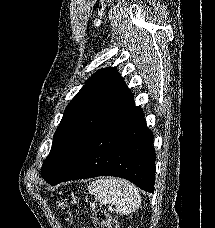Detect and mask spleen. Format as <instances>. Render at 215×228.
<instances>
[{"label":"spleen","instance_id":"spleen-1","mask_svg":"<svg viewBox=\"0 0 215 228\" xmlns=\"http://www.w3.org/2000/svg\"><path fill=\"white\" fill-rule=\"evenodd\" d=\"M88 192L93 194L95 200L100 204H111L118 214H132L139 210L141 206V196L138 188L127 180L121 178H101L95 180L88 186Z\"/></svg>","mask_w":215,"mask_h":228}]
</instances>
